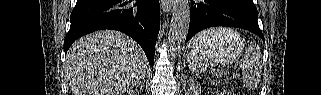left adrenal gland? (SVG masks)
I'll list each match as a JSON object with an SVG mask.
<instances>
[{"instance_id":"obj_1","label":"left adrenal gland","mask_w":321,"mask_h":95,"mask_svg":"<svg viewBox=\"0 0 321 95\" xmlns=\"http://www.w3.org/2000/svg\"><path fill=\"white\" fill-rule=\"evenodd\" d=\"M183 89L186 91V80L183 81Z\"/></svg>"}]
</instances>
